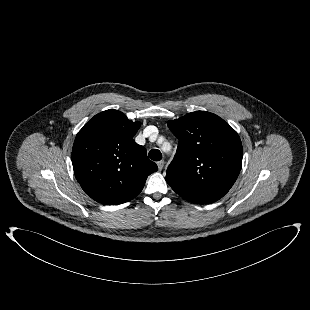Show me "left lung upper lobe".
I'll return each instance as SVG.
<instances>
[{
	"mask_svg": "<svg viewBox=\"0 0 310 310\" xmlns=\"http://www.w3.org/2000/svg\"><path fill=\"white\" fill-rule=\"evenodd\" d=\"M168 127L179 143L167 183L190 202L210 204L222 198L241 170L243 148L237 132L206 111L169 121Z\"/></svg>",
	"mask_w": 310,
	"mask_h": 310,
	"instance_id": "1",
	"label": "left lung upper lobe"
}]
</instances>
